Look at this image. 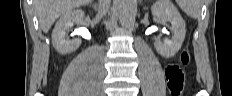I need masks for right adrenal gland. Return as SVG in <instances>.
<instances>
[{"label":"right adrenal gland","instance_id":"2a0ac1e0","mask_svg":"<svg viewBox=\"0 0 232 96\" xmlns=\"http://www.w3.org/2000/svg\"><path fill=\"white\" fill-rule=\"evenodd\" d=\"M93 7H94L95 10H98V6L96 4L93 5Z\"/></svg>","mask_w":232,"mask_h":96}]
</instances>
